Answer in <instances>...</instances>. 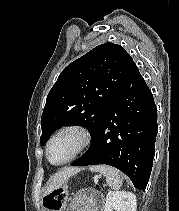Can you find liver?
<instances>
[{
  "label": "liver",
  "mask_w": 179,
  "mask_h": 211,
  "mask_svg": "<svg viewBox=\"0 0 179 211\" xmlns=\"http://www.w3.org/2000/svg\"><path fill=\"white\" fill-rule=\"evenodd\" d=\"M81 168H64L57 172L53 177L51 182L48 184L45 194L52 192L53 190L61 187L72 175L80 172Z\"/></svg>",
  "instance_id": "liver-1"
}]
</instances>
